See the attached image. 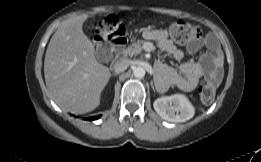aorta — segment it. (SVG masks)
<instances>
[{"instance_id": "obj_1", "label": "aorta", "mask_w": 261, "mask_h": 162, "mask_svg": "<svg viewBox=\"0 0 261 162\" xmlns=\"http://www.w3.org/2000/svg\"><path fill=\"white\" fill-rule=\"evenodd\" d=\"M133 75L136 77V78H143L145 76V70L143 67H135L133 69Z\"/></svg>"}]
</instances>
